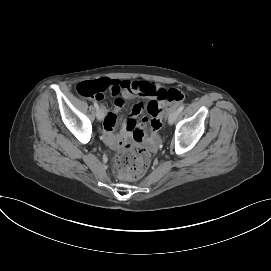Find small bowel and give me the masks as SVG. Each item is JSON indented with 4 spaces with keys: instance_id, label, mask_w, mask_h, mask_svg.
Returning <instances> with one entry per match:
<instances>
[{
    "instance_id": "small-bowel-1",
    "label": "small bowel",
    "mask_w": 271,
    "mask_h": 271,
    "mask_svg": "<svg viewBox=\"0 0 271 271\" xmlns=\"http://www.w3.org/2000/svg\"><path fill=\"white\" fill-rule=\"evenodd\" d=\"M110 83V91L115 96L114 108L110 111H104V138L108 145L116 147L121 142L132 137L136 141H140L143 137V131L147 126L148 119L143 118L136 122V118L146 110L153 119L150 121V127L153 120L161 122L167 101L159 97V93L165 90L159 84L148 81H129V80H108ZM136 97L147 98L148 102L135 104L129 117L122 121V131L115 134V128L118 123L117 114L124 107L125 100ZM102 99V97L100 98ZM152 131L151 142H156V132Z\"/></svg>"
}]
</instances>
